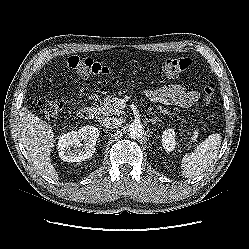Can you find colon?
<instances>
[{
  "label": "colon",
  "instance_id": "obj_1",
  "mask_svg": "<svg viewBox=\"0 0 249 249\" xmlns=\"http://www.w3.org/2000/svg\"><path fill=\"white\" fill-rule=\"evenodd\" d=\"M65 62L71 69L83 78H94L114 72L134 70L136 68L134 65L110 67L93 60L91 57L78 55L66 57ZM191 63L192 61L188 57H171L158 65L157 70L164 76L173 78L188 69ZM215 90L216 86L213 83H208L204 86L203 96L205 103H211ZM39 107L48 120L54 121L61 113L63 103L56 99H41L39 101Z\"/></svg>",
  "mask_w": 249,
  "mask_h": 249
}]
</instances>
